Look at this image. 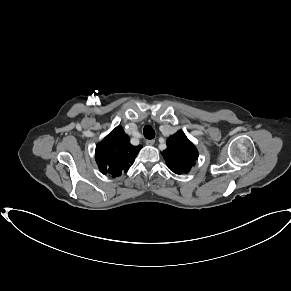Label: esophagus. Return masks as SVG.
Returning <instances> with one entry per match:
<instances>
[{
  "label": "esophagus",
  "instance_id": "34e87169",
  "mask_svg": "<svg viewBox=\"0 0 291 291\" xmlns=\"http://www.w3.org/2000/svg\"><path fill=\"white\" fill-rule=\"evenodd\" d=\"M155 143V140L154 139H150V140H147L146 141V144L147 145H153Z\"/></svg>",
  "mask_w": 291,
  "mask_h": 291
}]
</instances>
